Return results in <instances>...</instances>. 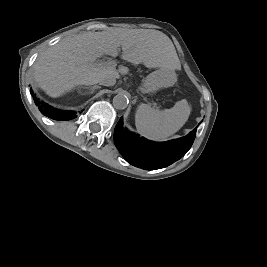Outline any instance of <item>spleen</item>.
I'll use <instances>...</instances> for the list:
<instances>
[{"label": "spleen", "mask_w": 267, "mask_h": 267, "mask_svg": "<svg viewBox=\"0 0 267 267\" xmlns=\"http://www.w3.org/2000/svg\"><path fill=\"white\" fill-rule=\"evenodd\" d=\"M190 114L185 100L172 108L159 110L149 104H140L135 113V125L140 135L152 141H166L179 131Z\"/></svg>", "instance_id": "1"}]
</instances>
